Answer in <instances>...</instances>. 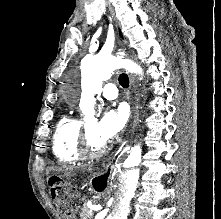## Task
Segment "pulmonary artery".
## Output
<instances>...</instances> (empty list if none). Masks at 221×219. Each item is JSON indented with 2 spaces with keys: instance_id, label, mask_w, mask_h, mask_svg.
<instances>
[{
  "instance_id": "obj_1",
  "label": "pulmonary artery",
  "mask_w": 221,
  "mask_h": 219,
  "mask_svg": "<svg viewBox=\"0 0 221 219\" xmlns=\"http://www.w3.org/2000/svg\"><path fill=\"white\" fill-rule=\"evenodd\" d=\"M101 94L104 98L113 100L118 97V89L114 84L109 83L104 85V87L101 89Z\"/></svg>"
}]
</instances>
